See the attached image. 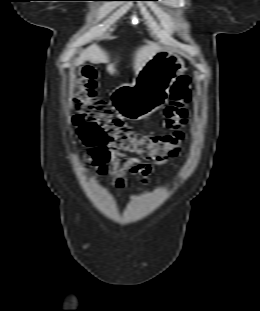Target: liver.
Listing matches in <instances>:
<instances>
[{"mask_svg": "<svg viewBox=\"0 0 260 311\" xmlns=\"http://www.w3.org/2000/svg\"><path fill=\"white\" fill-rule=\"evenodd\" d=\"M161 50V47L154 42L146 41V44L139 47L134 55L133 69L137 75L139 71L146 65V63ZM85 61H90L94 64L109 62L108 54L98 45H91L87 47L80 56L76 59V65H81ZM107 71L114 75L116 73L115 64L109 63Z\"/></svg>", "mask_w": 260, "mask_h": 311, "instance_id": "obj_1", "label": "liver"}]
</instances>
